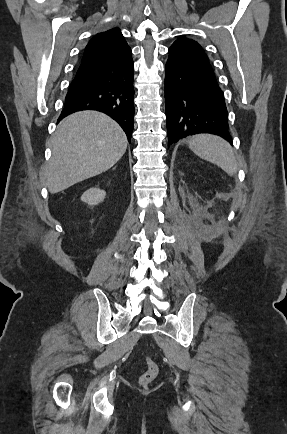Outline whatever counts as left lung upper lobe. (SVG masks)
<instances>
[{"instance_id": "left-lung-upper-lobe-1", "label": "left lung upper lobe", "mask_w": 287, "mask_h": 434, "mask_svg": "<svg viewBox=\"0 0 287 434\" xmlns=\"http://www.w3.org/2000/svg\"><path fill=\"white\" fill-rule=\"evenodd\" d=\"M169 54L200 60L209 63V58L204 53L202 47L195 41L181 36L169 48Z\"/></svg>"}]
</instances>
